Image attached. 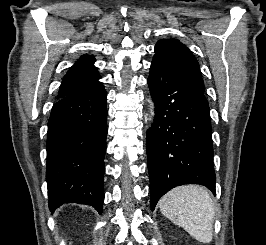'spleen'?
Returning <instances> with one entry per match:
<instances>
[{
    "mask_svg": "<svg viewBox=\"0 0 266 245\" xmlns=\"http://www.w3.org/2000/svg\"><path fill=\"white\" fill-rule=\"evenodd\" d=\"M160 211L199 243L213 239L214 203L204 187H176L160 201Z\"/></svg>",
    "mask_w": 266,
    "mask_h": 245,
    "instance_id": "obj_1",
    "label": "spleen"
}]
</instances>
